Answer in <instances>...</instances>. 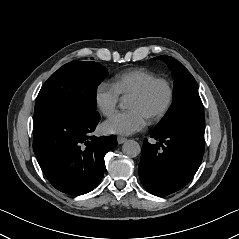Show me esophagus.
I'll list each match as a JSON object with an SVG mask.
<instances>
[{"instance_id": "esophagus-1", "label": "esophagus", "mask_w": 239, "mask_h": 239, "mask_svg": "<svg viewBox=\"0 0 239 239\" xmlns=\"http://www.w3.org/2000/svg\"><path fill=\"white\" fill-rule=\"evenodd\" d=\"M126 140H127V138H125V137H122V136L117 137L118 144H123Z\"/></svg>"}]
</instances>
